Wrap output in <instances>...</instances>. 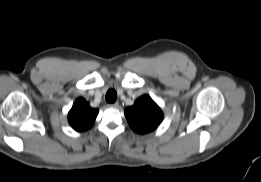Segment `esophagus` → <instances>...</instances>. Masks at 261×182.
I'll list each match as a JSON object with an SVG mask.
<instances>
[{"instance_id": "esophagus-1", "label": "esophagus", "mask_w": 261, "mask_h": 182, "mask_svg": "<svg viewBox=\"0 0 261 182\" xmlns=\"http://www.w3.org/2000/svg\"><path fill=\"white\" fill-rule=\"evenodd\" d=\"M119 106V103L118 102H115V103H112V104H109V107H118Z\"/></svg>"}]
</instances>
